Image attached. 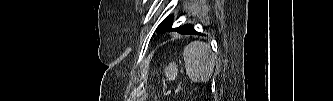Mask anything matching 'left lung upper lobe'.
Masks as SVG:
<instances>
[{"label":"left lung upper lobe","mask_w":333,"mask_h":101,"mask_svg":"<svg viewBox=\"0 0 333 101\" xmlns=\"http://www.w3.org/2000/svg\"><path fill=\"white\" fill-rule=\"evenodd\" d=\"M172 21H173L172 17L166 18L162 23H160V25L157 27L156 31L160 32V33L173 31L174 28L171 27Z\"/></svg>","instance_id":"obj_1"}]
</instances>
